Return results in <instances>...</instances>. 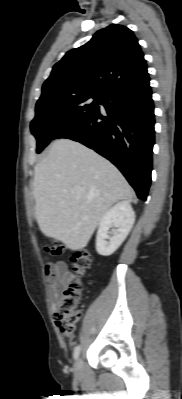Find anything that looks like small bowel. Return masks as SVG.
I'll use <instances>...</instances> for the list:
<instances>
[{
	"mask_svg": "<svg viewBox=\"0 0 182 399\" xmlns=\"http://www.w3.org/2000/svg\"><path fill=\"white\" fill-rule=\"evenodd\" d=\"M44 271L49 285L52 307L55 311L57 303L72 283L74 274L62 261L47 263Z\"/></svg>",
	"mask_w": 182,
	"mask_h": 399,
	"instance_id": "c3829d8e",
	"label": "small bowel"
}]
</instances>
